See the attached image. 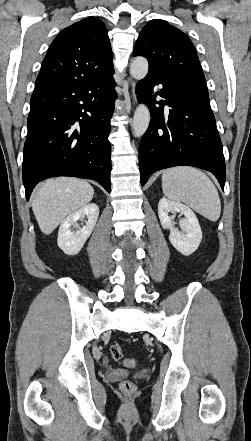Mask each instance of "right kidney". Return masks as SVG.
<instances>
[{
    "label": "right kidney",
    "instance_id": "obj_1",
    "mask_svg": "<svg viewBox=\"0 0 251 441\" xmlns=\"http://www.w3.org/2000/svg\"><path fill=\"white\" fill-rule=\"evenodd\" d=\"M87 216L88 220L80 228L77 221ZM99 216V208L95 203L87 204L70 214L60 225L57 244L67 255H76L83 248L91 235ZM76 227V231L73 228Z\"/></svg>",
    "mask_w": 251,
    "mask_h": 441
}]
</instances>
